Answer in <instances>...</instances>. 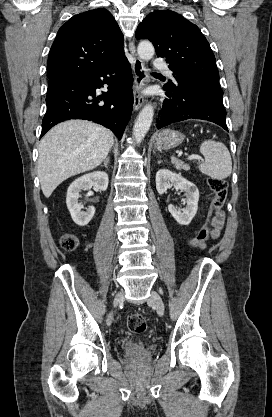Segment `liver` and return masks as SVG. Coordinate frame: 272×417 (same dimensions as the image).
I'll return each mask as SVG.
<instances>
[{
	"mask_svg": "<svg viewBox=\"0 0 272 417\" xmlns=\"http://www.w3.org/2000/svg\"><path fill=\"white\" fill-rule=\"evenodd\" d=\"M113 145V134L101 125L70 120L53 127L39 145L38 177L46 198L64 180L98 167Z\"/></svg>",
	"mask_w": 272,
	"mask_h": 417,
	"instance_id": "1",
	"label": "liver"
}]
</instances>
